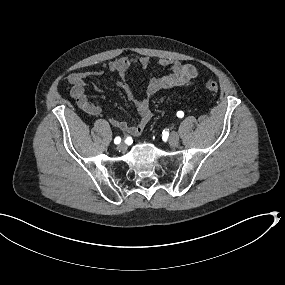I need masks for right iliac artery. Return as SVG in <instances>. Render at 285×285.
Listing matches in <instances>:
<instances>
[{
  "label": "right iliac artery",
  "instance_id": "right-iliac-artery-1",
  "mask_svg": "<svg viewBox=\"0 0 285 285\" xmlns=\"http://www.w3.org/2000/svg\"><path fill=\"white\" fill-rule=\"evenodd\" d=\"M121 142V138L120 137H116L115 139H114V143L115 144H119Z\"/></svg>",
  "mask_w": 285,
  "mask_h": 285
}]
</instances>
